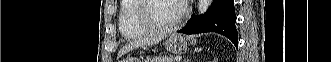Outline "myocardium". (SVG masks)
<instances>
[{
	"label": "myocardium",
	"mask_w": 331,
	"mask_h": 62,
	"mask_svg": "<svg viewBox=\"0 0 331 62\" xmlns=\"http://www.w3.org/2000/svg\"><path fill=\"white\" fill-rule=\"evenodd\" d=\"M152 0H139L138 7L136 10V23L139 27L144 29L148 33H166L173 31L174 29L178 28L181 24L183 17H184V6L180 11L179 16L177 19L169 25H157L153 23L150 18L147 16V10L149 7V3Z\"/></svg>",
	"instance_id": "1"
}]
</instances>
